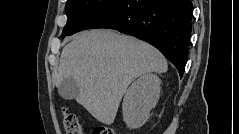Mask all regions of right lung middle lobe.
I'll list each match as a JSON object with an SVG mask.
<instances>
[{
	"label": "right lung middle lobe",
	"mask_w": 239,
	"mask_h": 134,
	"mask_svg": "<svg viewBox=\"0 0 239 134\" xmlns=\"http://www.w3.org/2000/svg\"><path fill=\"white\" fill-rule=\"evenodd\" d=\"M116 0H68L66 3L67 23L62 38L79 32L103 9Z\"/></svg>",
	"instance_id": "right-lung-middle-lobe-1"
}]
</instances>
